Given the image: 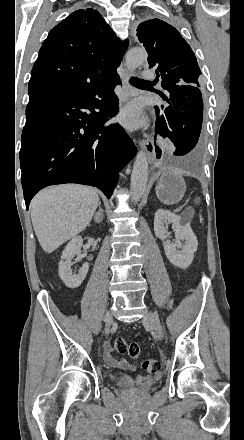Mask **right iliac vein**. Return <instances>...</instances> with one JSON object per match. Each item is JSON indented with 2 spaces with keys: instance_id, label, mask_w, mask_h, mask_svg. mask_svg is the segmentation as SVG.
<instances>
[{
  "instance_id": "1",
  "label": "right iliac vein",
  "mask_w": 244,
  "mask_h": 440,
  "mask_svg": "<svg viewBox=\"0 0 244 440\" xmlns=\"http://www.w3.org/2000/svg\"><path fill=\"white\" fill-rule=\"evenodd\" d=\"M104 322H105V325H106V327H105V332L107 333V334H109V332H110V330H111V325L113 324V318H112V315H111V313L108 311V312H106V314H105V316H104Z\"/></svg>"
}]
</instances>
